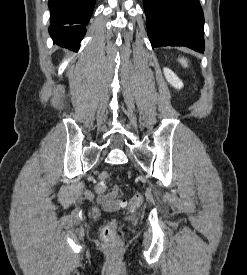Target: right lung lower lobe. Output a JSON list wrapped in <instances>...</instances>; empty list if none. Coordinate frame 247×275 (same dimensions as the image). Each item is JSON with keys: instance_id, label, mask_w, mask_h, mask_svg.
Listing matches in <instances>:
<instances>
[{"instance_id": "obj_1", "label": "right lung lower lobe", "mask_w": 247, "mask_h": 275, "mask_svg": "<svg viewBox=\"0 0 247 275\" xmlns=\"http://www.w3.org/2000/svg\"><path fill=\"white\" fill-rule=\"evenodd\" d=\"M53 40L68 49H79L90 20L95 0H49Z\"/></svg>"}]
</instances>
